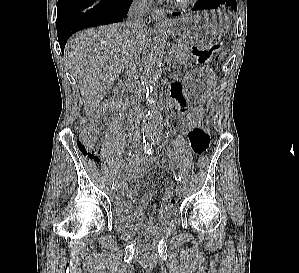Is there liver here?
<instances>
[{
	"mask_svg": "<svg viewBox=\"0 0 299 273\" xmlns=\"http://www.w3.org/2000/svg\"><path fill=\"white\" fill-rule=\"evenodd\" d=\"M148 30L131 34L126 23L81 31L65 47L67 64L78 83L85 110L97 106L129 63L132 46L141 50Z\"/></svg>",
	"mask_w": 299,
	"mask_h": 273,
	"instance_id": "obj_1",
	"label": "liver"
}]
</instances>
